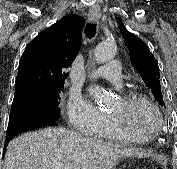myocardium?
I'll use <instances>...</instances> for the list:
<instances>
[{"mask_svg": "<svg viewBox=\"0 0 177 169\" xmlns=\"http://www.w3.org/2000/svg\"><path fill=\"white\" fill-rule=\"evenodd\" d=\"M121 102L126 107H132L136 104L144 105L149 108L154 114L157 116L159 121V126L151 131L150 133L143 134L140 136H136L128 132L127 128V119L126 116L123 114H113L109 113V116L112 118L118 129L121 133L131 141H142V140H151L157 137L164 127V119L162 113L160 112L159 108L143 93L137 90H129L120 95Z\"/></svg>", "mask_w": 177, "mask_h": 169, "instance_id": "f54148a6", "label": "myocardium"}]
</instances>
